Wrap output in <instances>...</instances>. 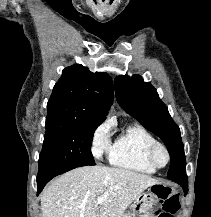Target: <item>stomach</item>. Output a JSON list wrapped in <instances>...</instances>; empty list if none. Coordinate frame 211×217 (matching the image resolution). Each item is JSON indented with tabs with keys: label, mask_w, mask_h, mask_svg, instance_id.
Instances as JSON below:
<instances>
[{
	"label": "stomach",
	"mask_w": 211,
	"mask_h": 217,
	"mask_svg": "<svg viewBox=\"0 0 211 217\" xmlns=\"http://www.w3.org/2000/svg\"><path fill=\"white\" fill-rule=\"evenodd\" d=\"M154 186L150 187L147 192L141 193L134 201L130 212L131 217H150V211L157 202L155 192L158 187Z\"/></svg>",
	"instance_id": "stomach-1"
}]
</instances>
